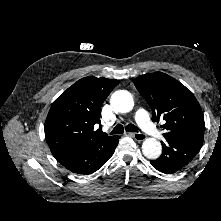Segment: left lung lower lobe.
<instances>
[{
  "instance_id": "left-lung-lower-lobe-1",
  "label": "left lung lower lobe",
  "mask_w": 221,
  "mask_h": 221,
  "mask_svg": "<svg viewBox=\"0 0 221 221\" xmlns=\"http://www.w3.org/2000/svg\"><path fill=\"white\" fill-rule=\"evenodd\" d=\"M161 143L163 146L162 155L150 162L158 171L173 174L183 169L200 151L203 137L166 140L165 143Z\"/></svg>"
}]
</instances>
